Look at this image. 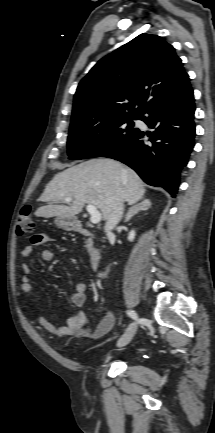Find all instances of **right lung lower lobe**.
<instances>
[{"label": "right lung lower lobe", "instance_id": "right-lung-lower-lobe-1", "mask_svg": "<svg viewBox=\"0 0 215 433\" xmlns=\"http://www.w3.org/2000/svg\"><path fill=\"white\" fill-rule=\"evenodd\" d=\"M194 111L193 90L188 82L149 106L144 112L148 117L141 116L150 128H155L151 135L139 131L104 157L127 164L147 184L163 187L175 197L180 170L187 164L194 147Z\"/></svg>", "mask_w": 215, "mask_h": 433}]
</instances>
